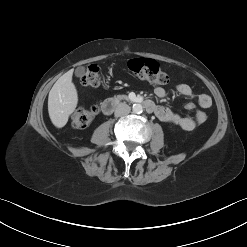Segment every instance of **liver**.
I'll return each mask as SVG.
<instances>
[{"mask_svg": "<svg viewBox=\"0 0 247 247\" xmlns=\"http://www.w3.org/2000/svg\"><path fill=\"white\" fill-rule=\"evenodd\" d=\"M72 75V70L63 74L49 92L48 113L51 122L57 128L66 125L78 103V94L72 82Z\"/></svg>", "mask_w": 247, "mask_h": 247, "instance_id": "liver-1", "label": "liver"}]
</instances>
